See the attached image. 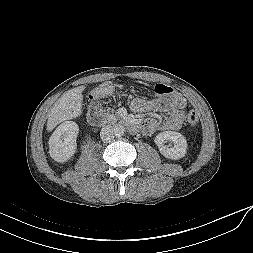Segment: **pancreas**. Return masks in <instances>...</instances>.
Instances as JSON below:
<instances>
[{"mask_svg": "<svg viewBox=\"0 0 253 253\" xmlns=\"http://www.w3.org/2000/svg\"><path fill=\"white\" fill-rule=\"evenodd\" d=\"M103 118L105 123L114 124L119 119V116L114 114V112L110 109H104Z\"/></svg>", "mask_w": 253, "mask_h": 253, "instance_id": "obj_1", "label": "pancreas"}]
</instances>
